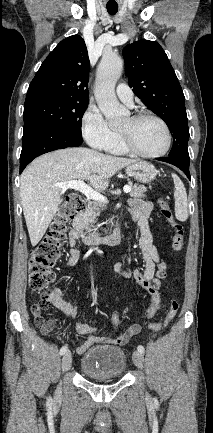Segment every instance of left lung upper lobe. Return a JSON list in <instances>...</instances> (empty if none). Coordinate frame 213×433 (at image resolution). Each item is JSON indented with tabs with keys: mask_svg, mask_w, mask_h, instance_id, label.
I'll return each instance as SVG.
<instances>
[{
	"mask_svg": "<svg viewBox=\"0 0 213 433\" xmlns=\"http://www.w3.org/2000/svg\"><path fill=\"white\" fill-rule=\"evenodd\" d=\"M123 57L129 86L173 134L169 157L189 161L185 97L166 53L157 42L139 40L124 47Z\"/></svg>",
	"mask_w": 213,
	"mask_h": 433,
	"instance_id": "1",
	"label": "left lung upper lobe"
}]
</instances>
